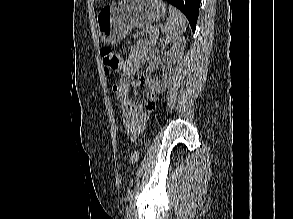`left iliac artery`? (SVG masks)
<instances>
[{
  "mask_svg": "<svg viewBox=\"0 0 293 219\" xmlns=\"http://www.w3.org/2000/svg\"><path fill=\"white\" fill-rule=\"evenodd\" d=\"M132 197V190L128 192L127 196L125 197V202H129Z\"/></svg>",
  "mask_w": 293,
  "mask_h": 219,
  "instance_id": "1",
  "label": "left iliac artery"
}]
</instances>
